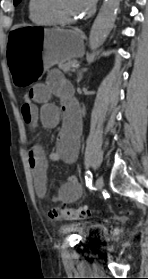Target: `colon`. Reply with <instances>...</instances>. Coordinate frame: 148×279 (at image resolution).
<instances>
[{
  "instance_id": "1",
  "label": "colon",
  "mask_w": 148,
  "mask_h": 279,
  "mask_svg": "<svg viewBox=\"0 0 148 279\" xmlns=\"http://www.w3.org/2000/svg\"><path fill=\"white\" fill-rule=\"evenodd\" d=\"M32 101L31 89L24 93V104L29 105ZM91 210L87 208H62L53 210L49 213V216L55 220H76L85 218L91 215Z\"/></svg>"
}]
</instances>
